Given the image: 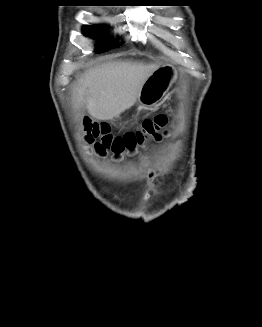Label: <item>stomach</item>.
Listing matches in <instances>:
<instances>
[{
    "mask_svg": "<svg viewBox=\"0 0 262 327\" xmlns=\"http://www.w3.org/2000/svg\"><path fill=\"white\" fill-rule=\"evenodd\" d=\"M177 73L172 65H164L156 69L144 82L138 96V104L142 108L157 105L163 99L173 82Z\"/></svg>",
    "mask_w": 262,
    "mask_h": 327,
    "instance_id": "0dacf381",
    "label": "stomach"
}]
</instances>
